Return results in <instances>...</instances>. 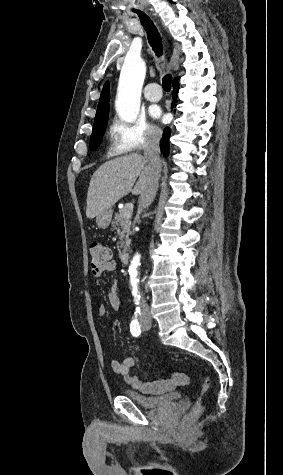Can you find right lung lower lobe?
<instances>
[{
	"label": "right lung lower lobe",
	"mask_w": 283,
	"mask_h": 475,
	"mask_svg": "<svg viewBox=\"0 0 283 475\" xmlns=\"http://www.w3.org/2000/svg\"><path fill=\"white\" fill-rule=\"evenodd\" d=\"M178 78H175V80L173 81V90H174V94L176 95L178 93V90H179V82L177 81ZM177 96H173V102H172V107L173 106H176L175 102H177L176 100ZM171 135V130L169 127H166L164 129V132H163V137L161 139V143H160V147H161V151L163 153V155L165 157L168 156L169 154V137Z\"/></svg>",
	"instance_id": "1"
}]
</instances>
